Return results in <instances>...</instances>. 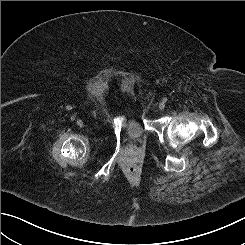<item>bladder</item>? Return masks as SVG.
I'll list each match as a JSON object with an SVG mask.
<instances>
[{
  "label": "bladder",
  "mask_w": 245,
  "mask_h": 245,
  "mask_svg": "<svg viewBox=\"0 0 245 245\" xmlns=\"http://www.w3.org/2000/svg\"><path fill=\"white\" fill-rule=\"evenodd\" d=\"M127 130L133 134L135 137H141L142 136V131L140 128L136 127L132 121L129 122L127 125Z\"/></svg>",
  "instance_id": "1"
}]
</instances>
